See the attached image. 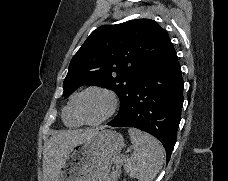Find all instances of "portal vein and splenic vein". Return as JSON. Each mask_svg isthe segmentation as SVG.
<instances>
[{
  "mask_svg": "<svg viewBox=\"0 0 228 181\" xmlns=\"http://www.w3.org/2000/svg\"><path fill=\"white\" fill-rule=\"evenodd\" d=\"M127 155H122L121 159L122 161H124V159H126ZM122 161H116V165L114 166L116 169L119 167H121L120 165L118 166L117 163H122Z\"/></svg>",
  "mask_w": 228,
  "mask_h": 181,
  "instance_id": "18ae733b",
  "label": "portal vein and splenic vein"
}]
</instances>
